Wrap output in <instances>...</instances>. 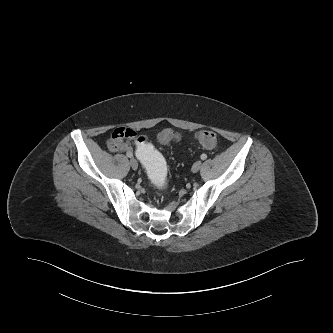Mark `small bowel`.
<instances>
[{"mask_svg": "<svg viewBox=\"0 0 333 333\" xmlns=\"http://www.w3.org/2000/svg\"><path fill=\"white\" fill-rule=\"evenodd\" d=\"M109 136L110 139L107 141V145L113 152H131L132 147L137 144L136 133L132 127H114Z\"/></svg>", "mask_w": 333, "mask_h": 333, "instance_id": "1", "label": "small bowel"}]
</instances>
